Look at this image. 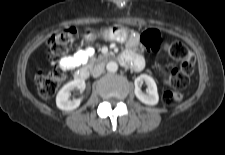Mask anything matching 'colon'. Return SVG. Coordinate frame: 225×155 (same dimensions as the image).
Instances as JSON below:
<instances>
[{
    "label": "colon",
    "instance_id": "1",
    "mask_svg": "<svg viewBox=\"0 0 225 155\" xmlns=\"http://www.w3.org/2000/svg\"><path fill=\"white\" fill-rule=\"evenodd\" d=\"M78 35L77 29L69 27L61 32L50 35L46 44L51 54L60 56L67 53ZM141 42L151 50L163 49L177 65L165 75L170 89L163 94V102L168 106L176 105L182 98L180 90L185 88L195 69V59L189 48L180 41L161 45L160 35L155 30H147L141 35ZM65 77V69L61 64H55L48 73L37 77L39 94L49 98L55 94Z\"/></svg>",
    "mask_w": 225,
    "mask_h": 155
}]
</instances>
